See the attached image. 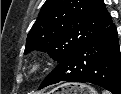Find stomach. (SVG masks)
I'll return each mask as SVG.
<instances>
[{"label":"stomach","mask_w":121,"mask_h":94,"mask_svg":"<svg viewBox=\"0 0 121 94\" xmlns=\"http://www.w3.org/2000/svg\"><path fill=\"white\" fill-rule=\"evenodd\" d=\"M47 94H97L96 91L88 85L79 83L62 84Z\"/></svg>","instance_id":"stomach-1"}]
</instances>
